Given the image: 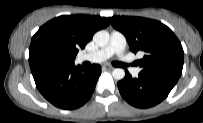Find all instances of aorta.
Wrapping results in <instances>:
<instances>
[{
	"label": "aorta",
	"instance_id": "aorta-1",
	"mask_svg": "<svg viewBox=\"0 0 203 123\" xmlns=\"http://www.w3.org/2000/svg\"><path fill=\"white\" fill-rule=\"evenodd\" d=\"M110 40V35L106 30H100L93 36V41L99 47H105ZM112 76L115 80H121L125 77V71L122 68H115L112 71Z\"/></svg>",
	"mask_w": 203,
	"mask_h": 123
}]
</instances>
